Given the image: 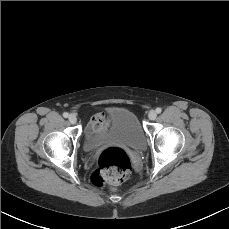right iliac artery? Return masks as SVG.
Segmentation results:
<instances>
[{"label": "right iliac artery", "instance_id": "82829eb1", "mask_svg": "<svg viewBox=\"0 0 229 229\" xmlns=\"http://www.w3.org/2000/svg\"><path fill=\"white\" fill-rule=\"evenodd\" d=\"M68 116H69V115H68L67 112H64V113H63V117L67 118Z\"/></svg>", "mask_w": 229, "mask_h": 229}]
</instances>
